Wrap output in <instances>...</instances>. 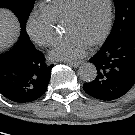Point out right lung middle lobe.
<instances>
[{"instance_id":"right-lung-middle-lobe-1","label":"right lung middle lobe","mask_w":135,"mask_h":135,"mask_svg":"<svg viewBox=\"0 0 135 135\" xmlns=\"http://www.w3.org/2000/svg\"><path fill=\"white\" fill-rule=\"evenodd\" d=\"M35 0H0V7L8 8L17 16L21 27L26 28L28 16Z\"/></svg>"}]
</instances>
